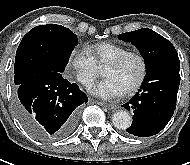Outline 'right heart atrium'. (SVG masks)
Wrapping results in <instances>:
<instances>
[{
  "instance_id": "1",
  "label": "right heart atrium",
  "mask_w": 190,
  "mask_h": 165,
  "mask_svg": "<svg viewBox=\"0 0 190 165\" xmlns=\"http://www.w3.org/2000/svg\"><path fill=\"white\" fill-rule=\"evenodd\" d=\"M68 68L83 86L91 85L98 74L97 64L87 48H79L71 52Z\"/></svg>"
}]
</instances>
